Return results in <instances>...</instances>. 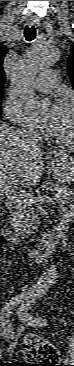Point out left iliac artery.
Wrapping results in <instances>:
<instances>
[{
    "instance_id": "44dca946",
    "label": "left iliac artery",
    "mask_w": 74,
    "mask_h": 366,
    "mask_svg": "<svg viewBox=\"0 0 74 366\" xmlns=\"http://www.w3.org/2000/svg\"><path fill=\"white\" fill-rule=\"evenodd\" d=\"M37 297H33V298H29L23 305L22 308L20 309L19 312V316L21 319V316L23 318V322L27 323L28 325H36V326H45L47 323L46 319H42V318H36L34 316H32L31 314L28 313L29 309L31 308V306L35 303Z\"/></svg>"
}]
</instances>
